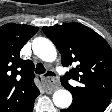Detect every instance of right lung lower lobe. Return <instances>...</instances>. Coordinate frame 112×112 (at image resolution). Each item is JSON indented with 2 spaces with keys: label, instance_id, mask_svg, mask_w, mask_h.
<instances>
[{
  "label": "right lung lower lobe",
  "instance_id": "right-lung-lower-lobe-1",
  "mask_svg": "<svg viewBox=\"0 0 112 112\" xmlns=\"http://www.w3.org/2000/svg\"><path fill=\"white\" fill-rule=\"evenodd\" d=\"M33 111V105L30 107V109L28 110V112H32Z\"/></svg>",
  "mask_w": 112,
  "mask_h": 112
}]
</instances>
